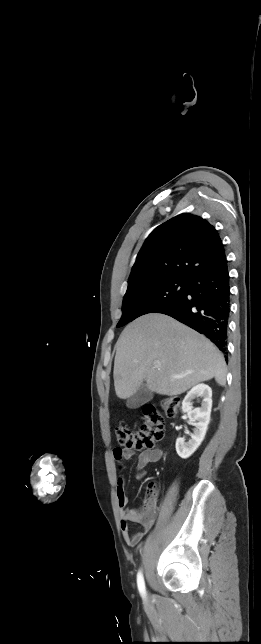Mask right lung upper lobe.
I'll return each mask as SVG.
<instances>
[{
    "label": "right lung upper lobe",
    "instance_id": "cb5924a9",
    "mask_svg": "<svg viewBox=\"0 0 261 644\" xmlns=\"http://www.w3.org/2000/svg\"><path fill=\"white\" fill-rule=\"evenodd\" d=\"M225 258L222 241L212 225L198 216L180 214L148 236L133 265L128 289L169 278L188 279Z\"/></svg>",
    "mask_w": 261,
    "mask_h": 644
}]
</instances>
